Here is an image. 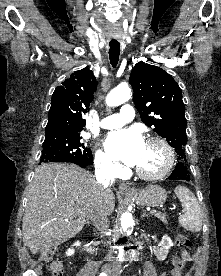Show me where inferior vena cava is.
I'll return each mask as SVG.
<instances>
[{
	"label": "inferior vena cava",
	"mask_w": 221,
	"mask_h": 276,
	"mask_svg": "<svg viewBox=\"0 0 221 276\" xmlns=\"http://www.w3.org/2000/svg\"><path fill=\"white\" fill-rule=\"evenodd\" d=\"M95 175L97 183L105 189L110 184V180L113 175L112 168L108 164L100 165L96 169ZM89 218L101 234H104L106 231H108L109 221L104 207L95 206L92 209Z\"/></svg>",
	"instance_id": "obj_1"
}]
</instances>
